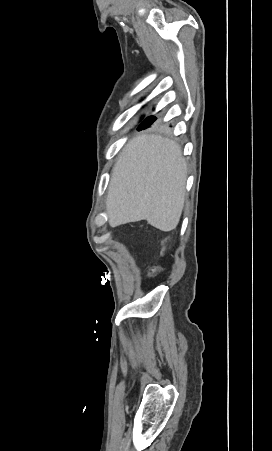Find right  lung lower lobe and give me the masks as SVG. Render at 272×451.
<instances>
[{
	"label": "right lung lower lobe",
	"mask_w": 272,
	"mask_h": 451,
	"mask_svg": "<svg viewBox=\"0 0 272 451\" xmlns=\"http://www.w3.org/2000/svg\"><path fill=\"white\" fill-rule=\"evenodd\" d=\"M157 119V117L155 116H149L147 117L139 126H138V130H142V129H146L148 127H150V125H152L155 120Z\"/></svg>",
	"instance_id": "obj_1"
}]
</instances>
